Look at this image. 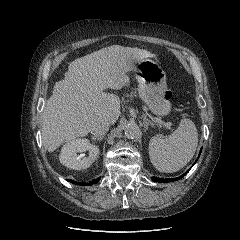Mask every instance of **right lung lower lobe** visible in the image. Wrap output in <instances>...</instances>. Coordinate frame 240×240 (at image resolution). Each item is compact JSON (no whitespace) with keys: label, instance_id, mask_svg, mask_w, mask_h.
<instances>
[{"label":"right lung lower lobe","instance_id":"obj_1","mask_svg":"<svg viewBox=\"0 0 240 240\" xmlns=\"http://www.w3.org/2000/svg\"><path fill=\"white\" fill-rule=\"evenodd\" d=\"M98 180L99 179H96V180H93L92 182H89V183H78V182H75V181H72V180H68V181L71 182V183L77 184V185L90 186V185L96 184L98 182Z\"/></svg>","mask_w":240,"mask_h":240}]
</instances>
